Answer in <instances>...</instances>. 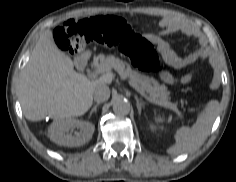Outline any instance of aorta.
Returning <instances> with one entry per match:
<instances>
[{
  "instance_id": "762f6f07",
  "label": "aorta",
  "mask_w": 236,
  "mask_h": 182,
  "mask_svg": "<svg viewBox=\"0 0 236 182\" xmlns=\"http://www.w3.org/2000/svg\"><path fill=\"white\" fill-rule=\"evenodd\" d=\"M113 111L120 116L128 115L130 112V104L123 98H117L113 102Z\"/></svg>"
}]
</instances>
